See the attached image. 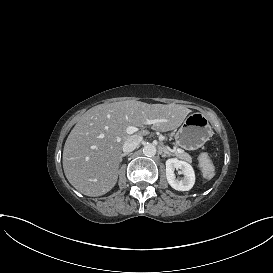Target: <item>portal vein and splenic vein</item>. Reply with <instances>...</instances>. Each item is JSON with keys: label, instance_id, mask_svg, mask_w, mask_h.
<instances>
[{"label": "portal vein and splenic vein", "instance_id": "18ae733b", "mask_svg": "<svg viewBox=\"0 0 273 273\" xmlns=\"http://www.w3.org/2000/svg\"><path fill=\"white\" fill-rule=\"evenodd\" d=\"M152 122H154V121H148V124H150V123H152ZM136 131H137V129H136L135 127H132V126H130V127H128V128L126 129V133L129 134V135L133 134V133L136 132ZM174 150H175V151H178L179 153H182V152H183V149H182V148H177V147H175Z\"/></svg>", "mask_w": 273, "mask_h": 273}]
</instances>
